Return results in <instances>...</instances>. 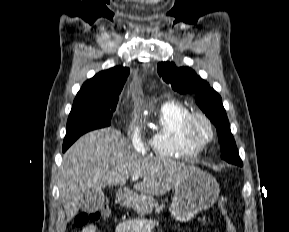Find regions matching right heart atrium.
<instances>
[{
	"label": "right heart atrium",
	"mask_w": 289,
	"mask_h": 232,
	"mask_svg": "<svg viewBox=\"0 0 289 232\" xmlns=\"http://www.w3.org/2000/svg\"><path fill=\"white\" fill-rule=\"evenodd\" d=\"M127 133L135 151L144 153L147 149V143L143 137L140 125L136 120L130 122Z\"/></svg>",
	"instance_id": "obj_1"
}]
</instances>
